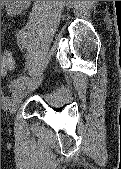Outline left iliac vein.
<instances>
[{"instance_id": "left-iliac-vein-1", "label": "left iliac vein", "mask_w": 121, "mask_h": 169, "mask_svg": "<svg viewBox=\"0 0 121 169\" xmlns=\"http://www.w3.org/2000/svg\"><path fill=\"white\" fill-rule=\"evenodd\" d=\"M38 79H33L26 84L17 88L13 94L12 104L10 107V114L14 115L22 101V99L39 85Z\"/></svg>"}]
</instances>
